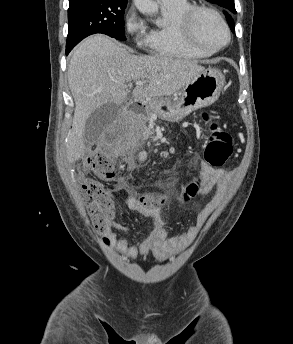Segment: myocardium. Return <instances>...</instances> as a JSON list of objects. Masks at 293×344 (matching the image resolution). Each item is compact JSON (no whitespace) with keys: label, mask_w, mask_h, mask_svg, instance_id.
I'll list each match as a JSON object with an SVG mask.
<instances>
[{"label":"myocardium","mask_w":293,"mask_h":344,"mask_svg":"<svg viewBox=\"0 0 293 344\" xmlns=\"http://www.w3.org/2000/svg\"><path fill=\"white\" fill-rule=\"evenodd\" d=\"M202 12L213 15L221 23L226 32V41L216 48L210 49L203 46L197 41L194 35V22L197 16ZM178 26L183 40L193 49L205 54H215L224 49L231 41V31L228 23L223 15L213 7L205 5L193 6L180 18Z\"/></svg>","instance_id":"f54148a6"}]
</instances>
